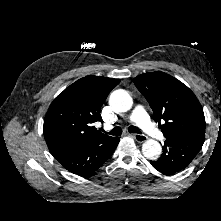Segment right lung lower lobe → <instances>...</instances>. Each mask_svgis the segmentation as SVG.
Segmentation results:
<instances>
[{"label":"right lung lower lobe","mask_w":221,"mask_h":221,"mask_svg":"<svg viewBox=\"0 0 221 221\" xmlns=\"http://www.w3.org/2000/svg\"><path fill=\"white\" fill-rule=\"evenodd\" d=\"M119 141V137H110L95 144L72 147L52 155L68 171L88 176L110 158Z\"/></svg>","instance_id":"obj_1"}]
</instances>
